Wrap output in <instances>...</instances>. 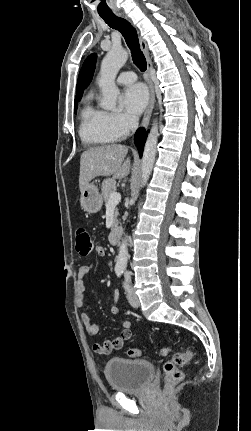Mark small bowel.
Instances as JSON below:
<instances>
[{"label": "small bowel", "instance_id": "1", "mask_svg": "<svg viewBox=\"0 0 251 431\" xmlns=\"http://www.w3.org/2000/svg\"><path fill=\"white\" fill-rule=\"evenodd\" d=\"M96 251L99 256H104L106 251L102 246H97ZM93 264L81 265L77 269V281H76V296L75 302L78 308L84 307V292H85V278L93 269ZM119 294L117 291L114 292L113 302L110 308V312L113 315L119 314ZM81 320L86 329L87 335L89 337H94L98 332L97 323L86 313L81 312ZM122 330L119 336L106 340L103 343H94L92 345L93 350L98 354H110L115 350H119L123 347L125 341L129 340L132 336L131 322L128 320H123Z\"/></svg>", "mask_w": 251, "mask_h": 431}]
</instances>
